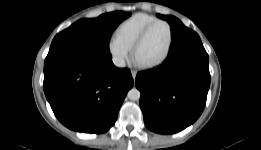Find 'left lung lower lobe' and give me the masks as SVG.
<instances>
[{
    "instance_id": "0a47b994",
    "label": "left lung lower lobe",
    "mask_w": 261,
    "mask_h": 150,
    "mask_svg": "<svg viewBox=\"0 0 261 150\" xmlns=\"http://www.w3.org/2000/svg\"><path fill=\"white\" fill-rule=\"evenodd\" d=\"M209 57L199 36L186 28L173 38L167 59L139 72L135 84L147 128L173 134L193 124L203 112L210 86Z\"/></svg>"
}]
</instances>
